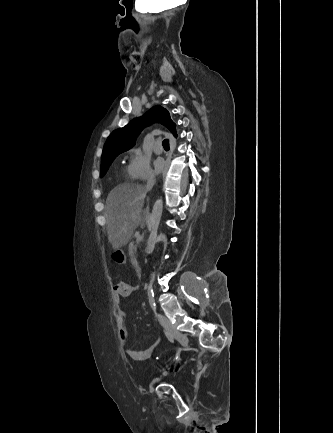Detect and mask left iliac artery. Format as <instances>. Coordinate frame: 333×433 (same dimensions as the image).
I'll return each instance as SVG.
<instances>
[{"label": "left iliac artery", "instance_id": "44dca946", "mask_svg": "<svg viewBox=\"0 0 333 433\" xmlns=\"http://www.w3.org/2000/svg\"><path fill=\"white\" fill-rule=\"evenodd\" d=\"M152 295H153V293H152ZM150 303H151L152 308H153L154 310H156V304H155L153 301H150Z\"/></svg>", "mask_w": 333, "mask_h": 433}]
</instances>
